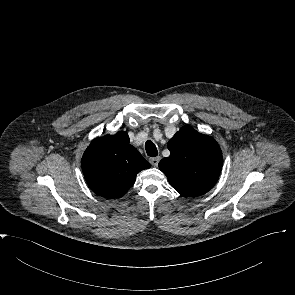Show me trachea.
Returning a JSON list of instances; mask_svg holds the SVG:
<instances>
[{
	"instance_id": "trachea-1",
	"label": "trachea",
	"mask_w": 295,
	"mask_h": 295,
	"mask_svg": "<svg viewBox=\"0 0 295 295\" xmlns=\"http://www.w3.org/2000/svg\"><path fill=\"white\" fill-rule=\"evenodd\" d=\"M145 149H146V152H147L148 156L155 157V156L158 155L157 148H156L155 144L151 140H148L145 143Z\"/></svg>"
}]
</instances>
